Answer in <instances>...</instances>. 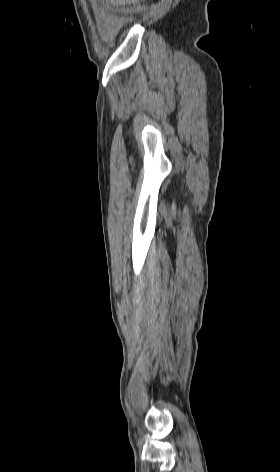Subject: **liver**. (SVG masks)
<instances>
[{"mask_svg": "<svg viewBox=\"0 0 280 472\" xmlns=\"http://www.w3.org/2000/svg\"><path fill=\"white\" fill-rule=\"evenodd\" d=\"M137 0H110L111 5H126L130 3H136Z\"/></svg>", "mask_w": 280, "mask_h": 472, "instance_id": "liver-1", "label": "liver"}]
</instances>
